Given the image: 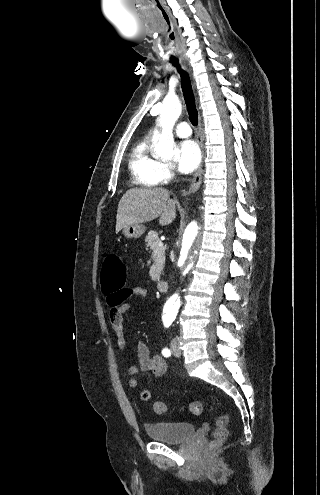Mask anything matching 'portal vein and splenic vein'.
I'll use <instances>...</instances> for the list:
<instances>
[{
  "instance_id": "1",
  "label": "portal vein and splenic vein",
  "mask_w": 320,
  "mask_h": 495,
  "mask_svg": "<svg viewBox=\"0 0 320 495\" xmlns=\"http://www.w3.org/2000/svg\"><path fill=\"white\" fill-rule=\"evenodd\" d=\"M158 246H159V247H162V246H163V243H162V242H159V243H158ZM158 250H159V249H156V250H155V252H157Z\"/></svg>"
}]
</instances>
